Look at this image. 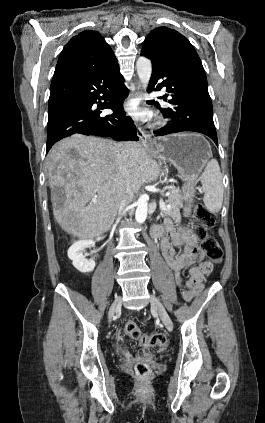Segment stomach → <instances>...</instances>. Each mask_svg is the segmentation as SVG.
I'll use <instances>...</instances> for the list:
<instances>
[{
  "instance_id": "1",
  "label": "stomach",
  "mask_w": 265,
  "mask_h": 423,
  "mask_svg": "<svg viewBox=\"0 0 265 423\" xmlns=\"http://www.w3.org/2000/svg\"><path fill=\"white\" fill-rule=\"evenodd\" d=\"M150 152L158 160L172 163L178 169L180 178L188 179L182 187V193L186 203L184 215L189 216L197 178L212 155L209 142L195 133L175 134L158 139Z\"/></svg>"
}]
</instances>
